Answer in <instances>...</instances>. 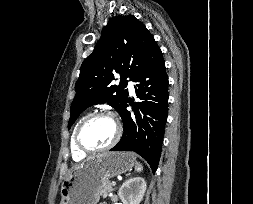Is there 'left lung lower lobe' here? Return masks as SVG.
Here are the masks:
<instances>
[{"instance_id":"0a47b994","label":"left lung lower lobe","mask_w":253,"mask_h":204,"mask_svg":"<svg viewBox=\"0 0 253 204\" xmlns=\"http://www.w3.org/2000/svg\"><path fill=\"white\" fill-rule=\"evenodd\" d=\"M136 82L135 105L128 100L121 109L120 116L124 132L119 143L110 151H134L141 155L156 171L162 150L164 129L168 115V77L162 52L155 44ZM132 105L134 113L126 110Z\"/></svg>"}]
</instances>
